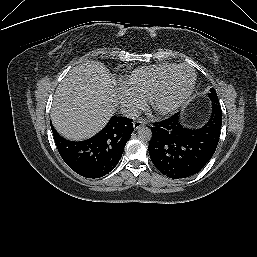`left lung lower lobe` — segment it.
Here are the masks:
<instances>
[{"instance_id": "1", "label": "left lung lower lobe", "mask_w": 257, "mask_h": 257, "mask_svg": "<svg viewBox=\"0 0 257 257\" xmlns=\"http://www.w3.org/2000/svg\"><path fill=\"white\" fill-rule=\"evenodd\" d=\"M222 125L219 103L212 102L207 122L189 128L180 113L153 123L149 155L155 167L169 178H186L198 173L211 159L218 145Z\"/></svg>"}]
</instances>
